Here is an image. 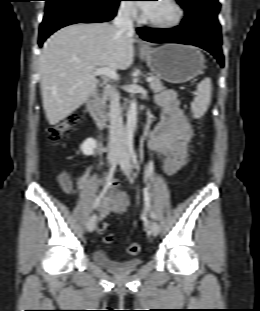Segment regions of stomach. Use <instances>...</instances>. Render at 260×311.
<instances>
[{
	"instance_id": "stomach-1",
	"label": "stomach",
	"mask_w": 260,
	"mask_h": 311,
	"mask_svg": "<svg viewBox=\"0 0 260 311\" xmlns=\"http://www.w3.org/2000/svg\"><path fill=\"white\" fill-rule=\"evenodd\" d=\"M152 73L171 83H184L204 70V55L195 47L165 44L140 51Z\"/></svg>"
}]
</instances>
